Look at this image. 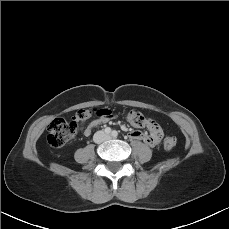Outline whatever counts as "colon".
Listing matches in <instances>:
<instances>
[{"label": "colon", "instance_id": "1", "mask_svg": "<svg viewBox=\"0 0 229 229\" xmlns=\"http://www.w3.org/2000/svg\"><path fill=\"white\" fill-rule=\"evenodd\" d=\"M94 113L109 114L107 110L82 109L76 112L71 121L61 118L54 119L47 128V142L52 147L63 146L72 136L76 134L80 125L84 124ZM127 120L134 126L144 127L147 118L136 109H129L126 113ZM177 145L175 136H167L163 141V146L167 150H172Z\"/></svg>", "mask_w": 229, "mask_h": 229}]
</instances>
